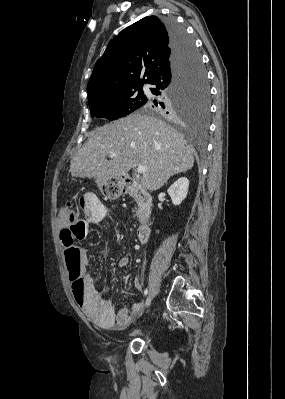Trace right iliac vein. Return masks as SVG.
<instances>
[{"instance_id": "right-iliac-vein-1", "label": "right iliac vein", "mask_w": 285, "mask_h": 399, "mask_svg": "<svg viewBox=\"0 0 285 399\" xmlns=\"http://www.w3.org/2000/svg\"><path fill=\"white\" fill-rule=\"evenodd\" d=\"M152 300H153V293L150 292L145 300L144 308H147L151 304Z\"/></svg>"}]
</instances>
